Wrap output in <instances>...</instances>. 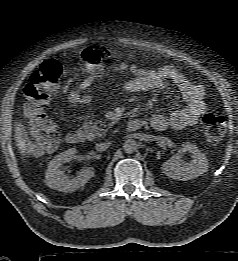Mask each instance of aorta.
Listing matches in <instances>:
<instances>
[{"mask_svg":"<svg viewBox=\"0 0 238 261\" xmlns=\"http://www.w3.org/2000/svg\"><path fill=\"white\" fill-rule=\"evenodd\" d=\"M123 150L128 154L134 153L137 150V142L134 139H127L123 144Z\"/></svg>","mask_w":238,"mask_h":261,"instance_id":"aorta-1","label":"aorta"}]
</instances>
